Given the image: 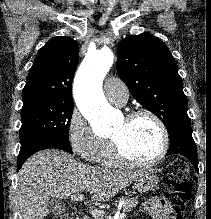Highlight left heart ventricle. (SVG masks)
<instances>
[{"instance_id": "left-heart-ventricle-1", "label": "left heart ventricle", "mask_w": 211, "mask_h": 219, "mask_svg": "<svg viewBox=\"0 0 211 219\" xmlns=\"http://www.w3.org/2000/svg\"><path fill=\"white\" fill-rule=\"evenodd\" d=\"M116 139L123 151L136 160H149L157 155L161 146V133L157 124L147 116L132 121L123 119L114 129Z\"/></svg>"}]
</instances>
